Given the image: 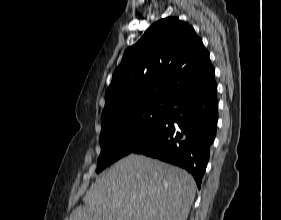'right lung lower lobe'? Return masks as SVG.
I'll list each match as a JSON object with an SVG mask.
<instances>
[{"label": "right lung lower lobe", "mask_w": 281, "mask_h": 220, "mask_svg": "<svg viewBox=\"0 0 281 220\" xmlns=\"http://www.w3.org/2000/svg\"><path fill=\"white\" fill-rule=\"evenodd\" d=\"M217 84L176 99L154 136L133 150L186 169L201 186L217 126ZM174 122L177 126H174Z\"/></svg>", "instance_id": "1"}]
</instances>
